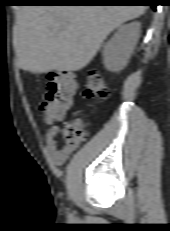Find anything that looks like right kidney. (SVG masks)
Instances as JSON below:
<instances>
[{
	"label": "right kidney",
	"mask_w": 170,
	"mask_h": 231,
	"mask_svg": "<svg viewBox=\"0 0 170 231\" xmlns=\"http://www.w3.org/2000/svg\"><path fill=\"white\" fill-rule=\"evenodd\" d=\"M140 37V23L132 22L121 26L103 49V63L107 70H122Z\"/></svg>",
	"instance_id": "1"
}]
</instances>
